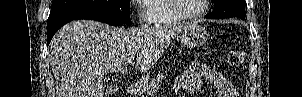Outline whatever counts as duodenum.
<instances>
[{
	"instance_id": "1",
	"label": "duodenum",
	"mask_w": 302,
	"mask_h": 97,
	"mask_svg": "<svg viewBox=\"0 0 302 97\" xmlns=\"http://www.w3.org/2000/svg\"><path fill=\"white\" fill-rule=\"evenodd\" d=\"M141 87L140 82H134L128 86L127 91L130 96H136L140 92Z\"/></svg>"
}]
</instances>
